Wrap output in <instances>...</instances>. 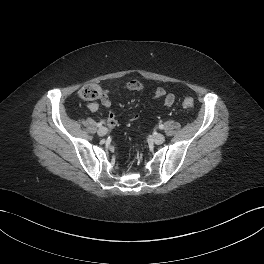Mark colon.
<instances>
[{
    "label": "colon",
    "instance_id": "5ec220e1",
    "mask_svg": "<svg viewBox=\"0 0 264 264\" xmlns=\"http://www.w3.org/2000/svg\"><path fill=\"white\" fill-rule=\"evenodd\" d=\"M79 96L84 101H94L103 96V89L98 84H89L81 88ZM184 108H192L194 101L192 98H185L182 102Z\"/></svg>",
    "mask_w": 264,
    "mask_h": 264
}]
</instances>
